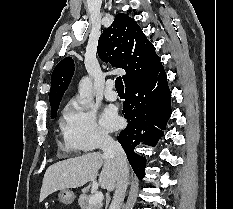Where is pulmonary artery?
Returning a JSON list of instances; mask_svg holds the SVG:
<instances>
[{"mask_svg":"<svg viewBox=\"0 0 233 209\" xmlns=\"http://www.w3.org/2000/svg\"><path fill=\"white\" fill-rule=\"evenodd\" d=\"M105 97L107 100L115 101L118 98L117 92L114 90V81L108 80L105 86Z\"/></svg>","mask_w":233,"mask_h":209,"instance_id":"pulmonary-artery-1","label":"pulmonary artery"}]
</instances>
